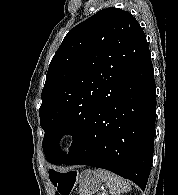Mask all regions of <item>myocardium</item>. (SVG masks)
Wrapping results in <instances>:
<instances>
[{
  "label": "myocardium",
  "mask_w": 178,
  "mask_h": 195,
  "mask_svg": "<svg viewBox=\"0 0 178 195\" xmlns=\"http://www.w3.org/2000/svg\"><path fill=\"white\" fill-rule=\"evenodd\" d=\"M74 139V134L68 131L61 133L57 139V146L60 149L68 147Z\"/></svg>",
  "instance_id": "f54148a6"
}]
</instances>
